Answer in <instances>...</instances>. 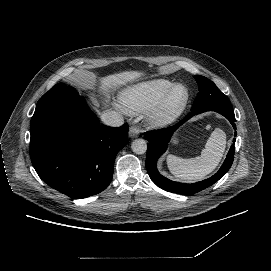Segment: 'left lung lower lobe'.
<instances>
[{
	"instance_id": "1",
	"label": "left lung lower lobe",
	"mask_w": 271,
	"mask_h": 271,
	"mask_svg": "<svg viewBox=\"0 0 271 271\" xmlns=\"http://www.w3.org/2000/svg\"><path fill=\"white\" fill-rule=\"evenodd\" d=\"M210 111V109H199V110H191L187 116L177 123L176 125L172 127H168L165 129L161 130H154V131H148L144 133V137L148 141V148H147V157H146V169L151 177V179L154 181V183L159 186L160 188L177 193V194H182V195H193L211 185H213L215 182H217L231 167L233 160H234V143H235V138L233 139V144L230 147V150L228 152V155L219 169V171L214 174L212 177L197 182L193 184H183V183H178L171 181L164 176H162L157 168H156V162L158 158L161 156L162 153L165 152L167 148V144L173 134V132L186 120H188L190 117L200 114L202 112ZM211 111H216L223 116H225L230 123L233 125V128L236 129L235 125V116H234V111H225V110H211ZM237 133L235 132V136Z\"/></svg>"
}]
</instances>
